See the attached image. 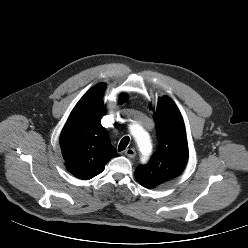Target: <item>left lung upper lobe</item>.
I'll return each mask as SVG.
<instances>
[{
	"instance_id": "left-lung-upper-lobe-1",
	"label": "left lung upper lobe",
	"mask_w": 248,
	"mask_h": 248,
	"mask_svg": "<svg viewBox=\"0 0 248 248\" xmlns=\"http://www.w3.org/2000/svg\"><path fill=\"white\" fill-rule=\"evenodd\" d=\"M158 149L135 177L142 186L155 188L178 177L188 161V146L182 116L171 98H160L155 113Z\"/></svg>"
}]
</instances>
